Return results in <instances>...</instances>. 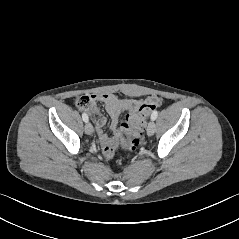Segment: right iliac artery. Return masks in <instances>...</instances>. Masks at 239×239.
<instances>
[{
    "mask_svg": "<svg viewBox=\"0 0 239 239\" xmlns=\"http://www.w3.org/2000/svg\"><path fill=\"white\" fill-rule=\"evenodd\" d=\"M82 119H83L84 122H88V116H87L86 113L82 114Z\"/></svg>",
    "mask_w": 239,
    "mask_h": 239,
    "instance_id": "82829eb1",
    "label": "right iliac artery"
}]
</instances>
